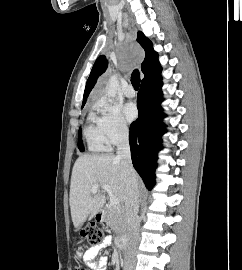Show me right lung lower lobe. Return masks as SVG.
Returning a JSON list of instances; mask_svg holds the SVG:
<instances>
[{
    "label": "right lung lower lobe",
    "instance_id": "right-lung-lower-lobe-1",
    "mask_svg": "<svg viewBox=\"0 0 242 270\" xmlns=\"http://www.w3.org/2000/svg\"><path fill=\"white\" fill-rule=\"evenodd\" d=\"M161 66L147 75L141 82L137 97L139 116L130 126L129 143L133 166L151 189L155 182L157 153L161 149V135L165 125L161 122L162 77Z\"/></svg>",
    "mask_w": 242,
    "mask_h": 270
}]
</instances>
